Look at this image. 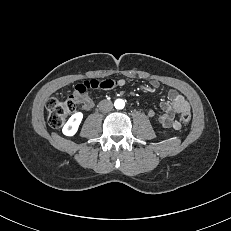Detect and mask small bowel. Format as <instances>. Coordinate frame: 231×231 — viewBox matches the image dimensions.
<instances>
[{"label":"small bowel","instance_id":"small-bowel-1","mask_svg":"<svg viewBox=\"0 0 231 231\" xmlns=\"http://www.w3.org/2000/svg\"><path fill=\"white\" fill-rule=\"evenodd\" d=\"M125 81L123 79H104V80H89L78 84L72 94V98L76 104L82 106L83 109L89 110L93 107L94 102L89 95V89L101 88L112 89L116 86H124ZM151 86L155 89L159 87V82L156 80L151 81ZM168 102H162L161 108L163 113L158 116L157 121L163 127H171L174 130L181 128V123L175 118V114H182L183 112H190V105L187 100L176 90H170L168 92ZM147 116L152 118L155 116L153 110L147 112Z\"/></svg>","mask_w":231,"mask_h":231}]
</instances>
